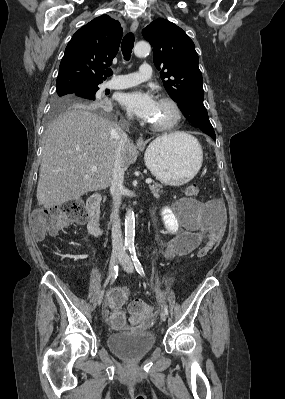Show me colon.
Wrapping results in <instances>:
<instances>
[{"label":"colon","mask_w":285,"mask_h":399,"mask_svg":"<svg viewBox=\"0 0 285 399\" xmlns=\"http://www.w3.org/2000/svg\"><path fill=\"white\" fill-rule=\"evenodd\" d=\"M199 193L197 183H190L185 194L188 197H196ZM87 218L86 210L79 198L69 199L58 206L43 207L35 210L30 218V224L34 234L38 236L49 235L50 233L66 228L69 223H83ZM221 238L214 235L201 249V254L211 253L218 247ZM130 312L137 317H148L151 308L140 299L134 300L129 308Z\"/></svg>","instance_id":"colon-1"}]
</instances>
